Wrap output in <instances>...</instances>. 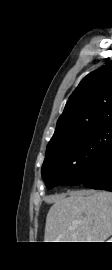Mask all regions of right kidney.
Returning <instances> with one entry per match:
<instances>
[{"mask_svg": "<svg viewBox=\"0 0 112 270\" xmlns=\"http://www.w3.org/2000/svg\"><path fill=\"white\" fill-rule=\"evenodd\" d=\"M108 242H112V238L110 240H108Z\"/></svg>", "mask_w": 112, "mask_h": 270, "instance_id": "ca27d5eb", "label": "right kidney"}]
</instances>
